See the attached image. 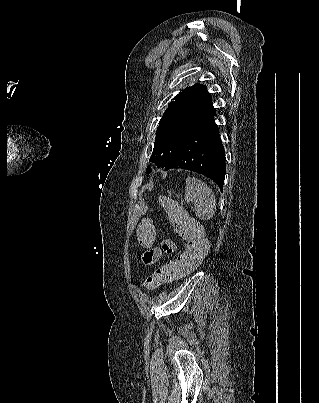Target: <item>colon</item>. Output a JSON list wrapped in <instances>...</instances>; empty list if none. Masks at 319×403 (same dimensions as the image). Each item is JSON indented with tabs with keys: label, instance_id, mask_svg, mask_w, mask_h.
<instances>
[{
	"label": "colon",
	"instance_id": "obj_1",
	"mask_svg": "<svg viewBox=\"0 0 319 403\" xmlns=\"http://www.w3.org/2000/svg\"><path fill=\"white\" fill-rule=\"evenodd\" d=\"M167 203L176 235L184 242V251L176 261L158 268L145 280L144 286L147 290H154L162 283L172 282L194 270L209 248L200 224L186 216L179 206L169 201ZM137 227L136 242L139 247H152L153 243L159 242V221H154V218H137ZM143 261L148 263L145 255Z\"/></svg>",
	"mask_w": 319,
	"mask_h": 403
}]
</instances>
